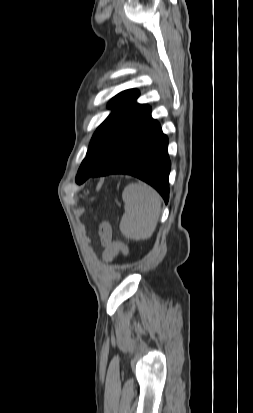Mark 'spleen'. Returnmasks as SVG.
<instances>
[{"mask_svg": "<svg viewBox=\"0 0 253 413\" xmlns=\"http://www.w3.org/2000/svg\"><path fill=\"white\" fill-rule=\"evenodd\" d=\"M125 213L120 222L122 234L133 240L149 239L161 213V197L145 183L127 185L122 193Z\"/></svg>", "mask_w": 253, "mask_h": 413, "instance_id": "1", "label": "spleen"}]
</instances>
